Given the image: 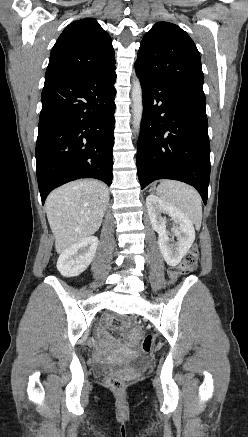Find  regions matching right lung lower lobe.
I'll list each match as a JSON object with an SVG mask.
<instances>
[{"label":"right lung lower lobe","instance_id":"98d812e1","mask_svg":"<svg viewBox=\"0 0 248 437\" xmlns=\"http://www.w3.org/2000/svg\"><path fill=\"white\" fill-rule=\"evenodd\" d=\"M115 69L45 81L35 152L42 204L53 189L79 178L111 185Z\"/></svg>","mask_w":248,"mask_h":437}]
</instances>
